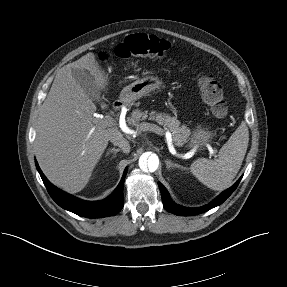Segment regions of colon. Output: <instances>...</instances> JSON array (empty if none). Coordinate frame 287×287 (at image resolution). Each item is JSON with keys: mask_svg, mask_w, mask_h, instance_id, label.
Masks as SVG:
<instances>
[{"mask_svg": "<svg viewBox=\"0 0 287 287\" xmlns=\"http://www.w3.org/2000/svg\"><path fill=\"white\" fill-rule=\"evenodd\" d=\"M170 49V43L165 39L146 33H135L126 37L109 53H103L102 59L109 56L118 58L130 57H161ZM204 101L215 116L222 117L227 108L221 84L210 74L202 75L199 79Z\"/></svg>", "mask_w": 287, "mask_h": 287, "instance_id": "obj_1", "label": "colon"}]
</instances>
